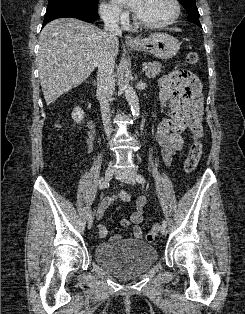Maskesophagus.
I'll list each match as a JSON object with an SVG mask.
<instances>
[{"instance_id": "1", "label": "esophagus", "mask_w": 245, "mask_h": 314, "mask_svg": "<svg viewBox=\"0 0 245 314\" xmlns=\"http://www.w3.org/2000/svg\"><path fill=\"white\" fill-rule=\"evenodd\" d=\"M125 42L128 44H134V43H137V40L134 39L132 36L127 35L125 36Z\"/></svg>"}]
</instances>
